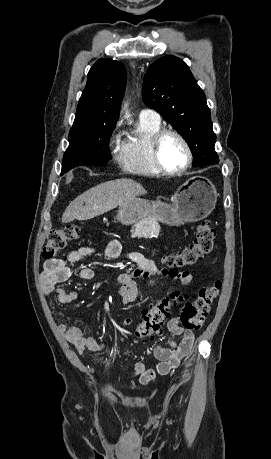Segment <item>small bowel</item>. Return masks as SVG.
Wrapping results in <instances>:
<instances>
[{
  "label": "small bowel",
  "mask_w": 271,
  "mask_h": 459,
  "mask_svg": "<svg viewBox=\"0 0 271 459\" xmlns=\"http://www.w3.org/2000/svg\"><path fill=\"white\" fill-rule=\"evenodd\" d=\"M101 254L107 259H116L121 255V246L118 240L111 239L102 246H81L71 250L67 259H50L44 263L41 273V286L44 294H57L60 304H69L77 300L76 291H68L60 287L61 283L67 281L71 276V269L68 263H76L87 256ZM122 257L133 262L137 267L130 273H122L118 276L120 284L118 293L124 304L134 302L138 297V290L135 280L148 278L151 275L159 274L164 278L179 281L183 286L193 283V276L189 271H180L167 267L158 268L156 263L145 258L141 253L131 252ZM77 276L82 280H90L94 277V271L90 267L82 266L77 271ZM132 322V318H126L120 327H126ZM168 330L179 336L178 340L171 341L167 346L159 345L153 350L154 357L158 360L155 368H146L142 363H135L132 367V376L137 377L141 384H147L157 375H166L172 369L179 366L180 362L187 357L193 347L194 334L192 330L185 328L179 318H171L167 323ZM58 330L68 339L83 355L85 351L97 352L107 348L108 344L88 337L77 327L59 325Z\"/></svg>",
  "instance_id": "1"
}]
</instances>
